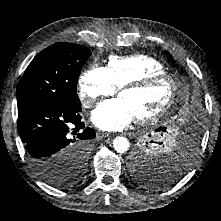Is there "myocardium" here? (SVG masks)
<instances>
[{"instance_id": "f54148a6", "label": "myocardium", "mask_w": 221, "mask_h": 221, "mask_svg": "<svg viewBox=\"0 0 221 221\" xmlns=\"http://www.w3.org/2000/svg\"><path fill=\"white\" fill-rule=\"evenodd\" d=\"M164 79L170 81L172 85V93H171L169 100L159 111L155 112L154 114L136 118V123L140 125L153 124L159 121L160 119H162L164 116H166L177 101V97H178L180 86H181L180 81L174 75L167 73V72H162V73H154V74L146 75L135 81L125 83L119 88L118 94H120L123 91H128V90L136 91V90L144 89L150 86L151 84L158 82L160 80H164Z\"/></svg>"}]
</instances>
